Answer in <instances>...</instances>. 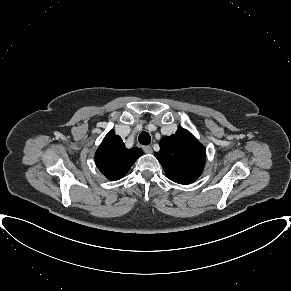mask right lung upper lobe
<instances>
[{"label": "right lung upper lobe", "mask_w": 291, "mask_h": 291, "mask_svg": "<svg viewBox=\"0 0 291 291\" xmlns=\"http://www.w3.org/2000/svg\"><path fill=\"white\" fill-rule=\"evenodd\" d=\"M142 154L139 148L127 149L122 139L110 131L96 151L95 163L106 178L116 181L128 172Z\"/></svg>", "instance_id": "1"}]
</instances>
